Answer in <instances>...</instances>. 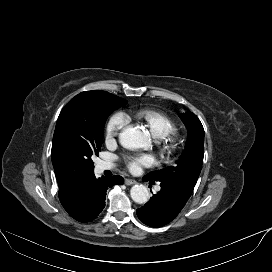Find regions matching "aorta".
<instances>
[{
  "mask_svg": "<svg viewBox=\"0 0 272 272\" xmlns=\"http://www.w3.org/2000/svg\"><path fill=\"white\" fill-rule=\"evenodd\" d=\"M120 144L127 149H139L148 144V133L141 127H127L119 136ZM132 200L138 204H145L149 198V191L142 184L134 185L130 190Z\"/></svg>",
  "mask_w": 272,
  "mask_h": 272,
  "instance_id": "obj_1",
  "label": "aorta"
}]
</instances>
